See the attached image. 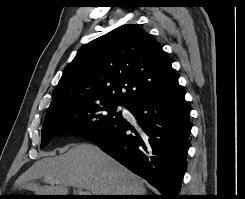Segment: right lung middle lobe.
Wrapping results in <instances>:
<instances>
[{
	"label": "right lung middle lobe",
	"instance_id": "obj_1",
	"mask_svg": "<svg viewBox=\"0 0 245 199\" xmlns=\"http://www.w3.org/2000/svg\"><path fill=\"white\" fill-rule=\"evenodd\" d=\"M116 103L79 104L63 108L46 116L42 127L41 148L54 137L75 134L87 140L103 132L122 119L116 112Z\"/></svg>",
	"mask_w": 245,
	"mask_h": 199
}]
</instances>
